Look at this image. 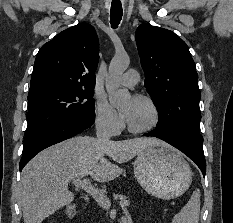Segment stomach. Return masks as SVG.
I'll return each instance as SVG.
<instances>
[{"label": "stomach", "instance_id": "stomach-1", "mask_svg": "<svg viewBox=\"0 0 233 223\" xmlns=\"http://www.w3.org/2000/svg\"><path fill=\"white\" fill-rule=\"evenodd\" d=\"M134 177L159 199H174L187 191L192 171L183 155L167 143L149 145L133 161Z\"/></svg>", "mask_w": 233, "mask_h": 223}]
</instances>
